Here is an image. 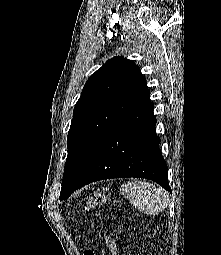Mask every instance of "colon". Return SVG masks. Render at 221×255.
Returning <instances> with one entry per match:
<instances>
[{
  "label": "colon",
  "instance_id": "obj_1",
  "mask_svg": "<svg viewBox=\"0 0 221 255\" xmlns=\"http://www.w3.org/2000/svg\"><path fill=\"white\" fill-rule=\"evenodd\" d=\"M105 201H106V196L105 195H103L101 193L94 194V195L90 196L85 201L83 209L85 211H89V210H91L93 208L102 206L105 203ZM83 255H95V253L91 249H86L83 252Z\"/></svg>",
  "mask_w": 221,
  "mask_h": 255
}]
</instances>
